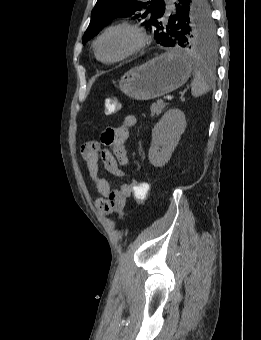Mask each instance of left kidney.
<instances>
[{
    "mask_svg": "<svg viewBox=\"0 0 261 340\" xmlns=\"http://www.w3.org/2000/svg\"><path fill=\"white\" fill-rule=\"evenodd\" d=\"M186 128L184 113L176 108L168 110L152 130L148 157L154 167H163L170 160Z\"/></svg>",
    "mask_w": 261,
    "mask_h": 340,
    "instance_id": "1",
    "label": "left kidney"
}]
</instances>
